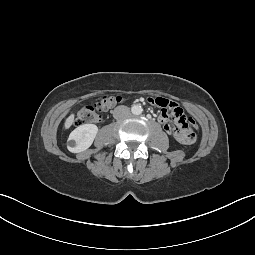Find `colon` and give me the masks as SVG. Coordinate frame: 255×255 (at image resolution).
Instances as JSON below:
<instances>
[{"instance_id": "colon-1", "label": "colon", "mask_w": 255, "mask_h": 255, "mask_svg": "<svg viewBox=\"0 0 255 255\" xmlns=\"http://www.w3.org/2000/svg\"><path fill=\"white\" fill-rule=\"evenodd\" d=\"M121 100L120 96L105 95L94 104L83 106L77 113L76 124L84 125L87 123H95L100 119V112H105L115 106ZM185 115V114H184ZM188 125L195 131L199 130L197 123L191 115L185 116ZM180 142L179 140H177ZM182 144V143H181Z\"/></svg>"}]
</instances>
